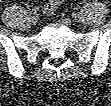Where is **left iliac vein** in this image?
<instances>
[{"instance_id":"1","label":"left iliac vein","mask_w":111,"mask_h":106,"mask_svg":"<svg viewBox=\"0 0 111 106\" xmlns=\"http://www.w3.org/2000/svg\"><path fill=\"white\" fill-rule=\"evenodd\" d=\"M73 18H74L75 21H80L81 20L80 14H73Z\"/></svg>"}]
</instances>
